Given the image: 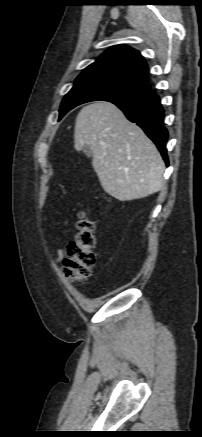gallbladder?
<instances>
[{
  "label": "gallbladder",
  "instance_id": "bac80fb5",
  "mask_svg": "<svg viewBox=\"0 0 202 437\" xmlns=\"http://www.w3.org/2000/svg\"><path fill=\"white\" fill-rule=\"evenodd\" d=\"M82 152H83L87 157H92V156H93L92 150H91V148H90L89 146H84V147L82 148Z\"/></svg>",
  "mask_w": 202,
  "mask_h": 437
}]
</instances>
